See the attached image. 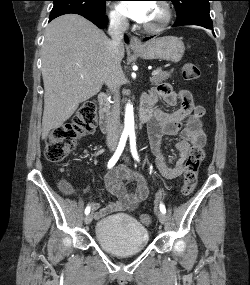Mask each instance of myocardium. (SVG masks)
<instances>
[{
	"mask_svg": "<svg viewBox=\"0 0 250 285\" xmlns=\"http://www.w3.org/2000/svg\"><path fill=\"white\" fill-rule=\"evenodd\" d=\"M160 9L162 10L163 16L160 23L157 25H146L144 24L143 29L145 32L149 34H159L163 32L172 20V9L171 6L164 1H160L156 3Z\"/></svg>",
	"mask_w": 250,
	"mask_h": 285,
	"instance_id": "1",
	"label": "myocardium"
}]
</instances>
